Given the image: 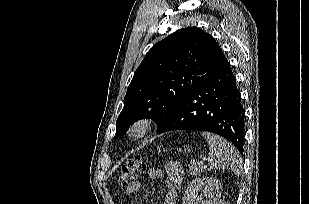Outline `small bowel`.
Wrapping results in <instances>:
<instances>
[{
  "label": "small bowel",
  "mask_w": 309,
  "mask_h": 204,
  "mask_svg": "<svg viewBox=\"0 0 309 204\" xmlns=\"http://www.w3.org/2000/svg\"><path fill=\"white\" fill-rule=\"evenodd\" d=\"M149 178H161L164 173L158 168H150L147 172ZM184 177V170L181 164L177 161H170L166 165V188L168 193L165 197L164 204H175L176 191L181 186ZM140 189V183L135 182L126 188V193L132 194Z\"/></svg>",
  "instance_id": "1"
}]
</instances>
